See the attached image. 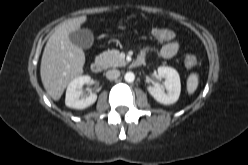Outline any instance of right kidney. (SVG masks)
Masks as SVG:
<instances>
[{
    "instance_id": "right-kidney-1",
    "label": "right kidney",
    "mask_w": 248,
    "mask_h": 165,
    "mask_svg": "<svg viewBox=\"0 0 248 165\" xmlns=\"http://www.w3.org/2000/svg\"><path fill=\"white\" fill-rule=\"evenodd\" d=\"M91 77L88 75L79 76L73 79L67 87L65 104L69 108L84 109L91 106L97 100V95L91 93L87 97L80 98L82 87L84 84H89Z\"/></svg>"
}]
</instances>
